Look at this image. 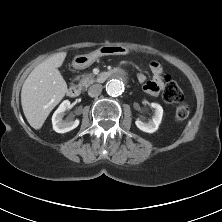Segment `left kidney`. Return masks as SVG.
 <instances>
[{"label": "left kidney", "mask_w": 222, "mask_h": 222, "mask_svg": "<svg viewBox=\"0 0 222 222\" xmlns=\"http://www.w3.org/2000/svg\"><path fill=\"white\" fill-rule=\"evenodd\" d=\"M151 107L154 109V116L148 122H142L141 120H136V126L143 132L153 133L158 129L163 116V108L157 103H151Z\"/></svg>", "instance_id": "obj_1"}]
</instances>
